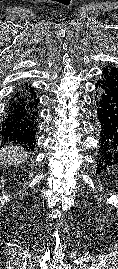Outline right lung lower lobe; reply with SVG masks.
Here are the masks:
<instances>
[{
  "label": "right lung lower lobe",
  "mask_w": 118,
  "mask_h": 269,
  "mask_svg": "<svg viewBox=\"0 0 118 269\" xmlns=\"http://www.w3.org/2000/svg\"><path fill=\"white\" fill-rule=\"evenodd\" d=\"M38 99L30 86L11 99L1 126L3 142H13L34 151L37 131Z\"/></svg>",
  "instance_id": "98d812e1"
}]
</instances>
